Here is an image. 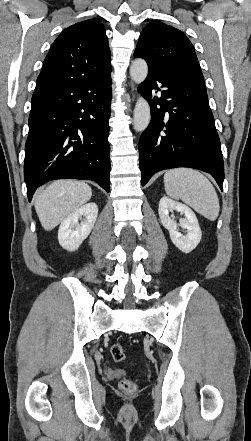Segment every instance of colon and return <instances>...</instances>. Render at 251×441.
Listing matches in <instances>:
<instances>
[{"label": "colon", "mask_w": 251, "mask_h": 441, "mask_svg": "<svg viewBox=\"0 0 251 441\" xmlns=\"http://www.w3.org/2000/svg\"><path fill=\"white\" fill-rule=\"evenodd\" d=\"M110 354L115 362H121L125 359L123 346L119 343L110 347ZM119 388L125 393H133L136 390V384L131 379H123L119 382Z\"/></svg>", "instance_id": "1"}]
</instances>
